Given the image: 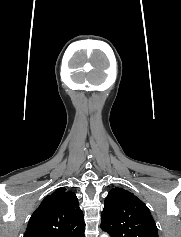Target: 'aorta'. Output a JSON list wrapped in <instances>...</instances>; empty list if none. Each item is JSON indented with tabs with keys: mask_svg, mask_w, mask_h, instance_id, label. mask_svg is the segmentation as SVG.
Wrapping results in <instances>:
<instances>
[{
	"mask_svg": "<svg viewBox=\"0 0 181 237\" xmlns=\"http://www.w3.org/2000/svg\"><path fill=\"white\" fill-rule=\"evenodd\" d=\"M101 237H109L106 233L102 234Z\"/></svg>",
	"mask_w": 181,
	"mask_h": 237,
	"instance_id": "762f6f07",
	"label": "aorta"
}]
</instances>
